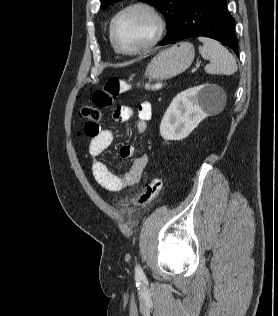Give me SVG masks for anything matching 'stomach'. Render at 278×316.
Masks as SVG:
<instances>
[{"label": "stomach", "instance_id": "1", "mask_svg": "<svg viewBox=\"0 0 278 316\" xmlns=\"http://www.w3.org/2000/svg\"><path fill=\"white\" fill-rule=\"evenodd\" d=\"M194 47L184 42L159 52L146 68L150 80H166L184 72L193 62Z\"/></svg>", "mask_w": 278, "mask_h": 316}]
</instances>
